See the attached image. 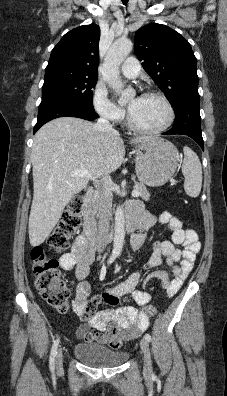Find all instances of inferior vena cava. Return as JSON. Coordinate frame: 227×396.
I'll return each instance as SVG.
<instances>
[{"label": "inferior vena cava", "mask_w": 227, "mask_h": 396, "mask_svg": "<svg viewBox=\"0 0 227 396\" xmlns=\"http://www.w3.org/2000/svg\"><path fill=\"white\" fill-rule=\"evenodd\" d=\"M95 127L102 133L116 132L105 116H102L98 119ZM103 183L104 186L102 187L98 197V228L96 235L98 251L104 249L106 246V238L109 233L112 211V193L110 189V185L112 183L111 178L109 176H105L103 178Z\"/></svg>", "instance_id": "602c4592"}]
</instances>
